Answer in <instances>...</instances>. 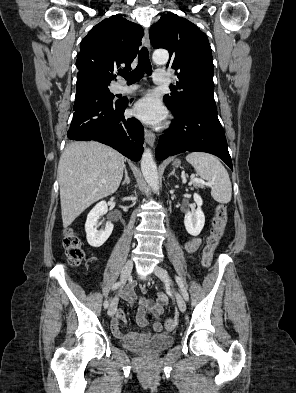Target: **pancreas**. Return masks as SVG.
<instances>
[{
	"instance_id": "1",
	"label": "pancreas",
	"mask_w": 296,
	"mask_h": 393,
	"mask_svg": "<svg viewBox=\"0 0 296 393\" xmlns=\"http://www.w3.org/2000/svg\"><path fill=\"white\" fill-rule=\"evenodd\" d=\"M192 184H193V186L196 187V188H203V187H204L203 184L198 183V182H192Z\"/></svg>"
}]
</instances>
